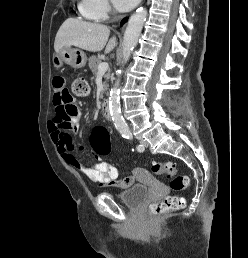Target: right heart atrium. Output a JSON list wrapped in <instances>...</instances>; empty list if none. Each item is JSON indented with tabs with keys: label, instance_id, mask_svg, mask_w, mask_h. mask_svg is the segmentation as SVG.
Wrapping results in <instances>:
<instances>
[{
	"label": "right heart atrium",
	"instance_id": "1",
	"mask_svg": "<svg viewBox=\"0 0 248 258\" xmlns=\"http://www.w3.org/2000/svg\"><path fill=\"white\" fill-rule=\"evenodd\" d=\"M86 10L95 19H104L111 12L108 0H84Z\"/></svg>",
	"mask_w": 248,
	"mask_h": 258
}]
</instances>
